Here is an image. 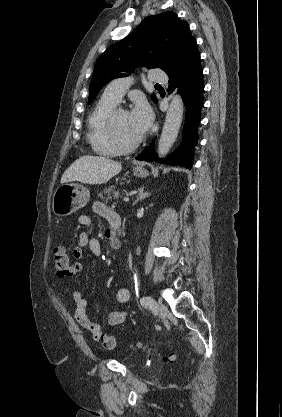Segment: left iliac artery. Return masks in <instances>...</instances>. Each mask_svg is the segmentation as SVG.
Returning <instances> with one entry per match:
<instances>
[{
	"mask_svg": "<svg viewBox=\"0 0 282 417\" xmlns=\"http://www.w3.org/2000/svg\"><path fill=\"white\" fill-rule=\"evenodd\" d=\"M141 304H143L145 307L150 308L154 312L157 309L155 300L149 296L143 297L141 299Z\"/></svg>",
	"mask_w": 282,
	"mask_h": 417,
	"instance_id": "left-iliac-artery-1",
	"label": "left iliac artery"
}]
</instances>
